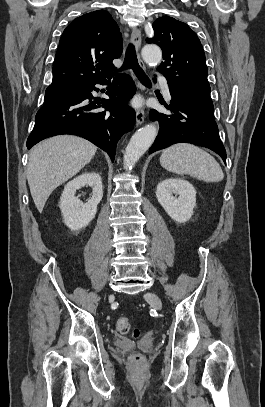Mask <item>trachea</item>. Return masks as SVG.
Here are the masks:
<instances>
[{"label":"trachea","mask_w":265,"mask_h":407,"mask_svg":"<svg viewBox=\"0 0 265 407\" xmlns=\"http://www.w3.org/2000/svg\"><path fill=\"white\" fill-rule=\"evenodd\" d=\"M123 69L132 68L138 79L145 85H150V79L139 66L136 57V51L133 44H129L126 50Z\"/></svg>","instance_id":"1"}]
</instances>
